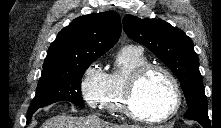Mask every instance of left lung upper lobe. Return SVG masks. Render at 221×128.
Instances as JSON below:
<instances>
[{"label":"left lung upper lobe","instance_id":"obj_1","mask_svg":"<svg viewBox=\"0 0 221 128\" xmlns=\"http://www.w3.org/2000/svg\"><path fill=\"white\" fill-rule=\"evenodd\" d=\"M123 29L129 38L153 52L178 78L189 107L184 117L210 122L199 60L192 40L182 30L161 19L125 15Z\"/></svg>","mask_w":221,"mask_h":128}]
</instances>
